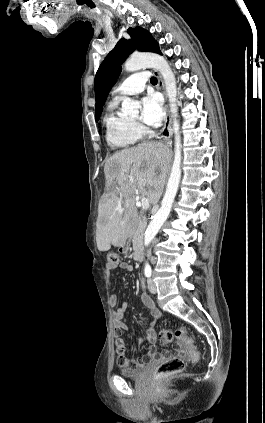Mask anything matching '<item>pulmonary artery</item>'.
I'll use <instances>...</instances> for the list:
<instances>
[{
	"label": "pulmonary artery",
	"instance_id": "pulmonary-artery-1",
	"mask_svg": "<svg viewBox=\"0 0 265 423\" xmlns=\"http://www.w3.org/2000/svg\"><path fill=\"white\" fill-rule=\"evenodd\" d=\"M148 78L149 75L146 71H139L133 74L115 89L114 99L120 100L125 96L135 95L142 92Z\"/></svg>",
	"mask_w": 265,
	"mask_h": 423
}]
</instances>
